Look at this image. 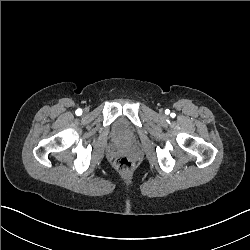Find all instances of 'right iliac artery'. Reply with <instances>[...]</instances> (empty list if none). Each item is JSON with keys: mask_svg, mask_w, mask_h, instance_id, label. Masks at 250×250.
<instances>
[{"mask_svg": "<svg viewBox=\"0 0 250 250\" xmlns=\"http://www.w3.org/2000/svg\"><path fill=\"white\" fill-rule=\"evenodd\" d=\"M75 113L77 116H80L82 114V109H77Z\"/></svg>", "mask_w": 250, "mask_h": 250, "instance_id": "obj_1", "label": "right iliac artery"}]
</instances>
